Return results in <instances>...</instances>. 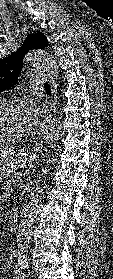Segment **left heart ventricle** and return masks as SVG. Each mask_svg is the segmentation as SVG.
<instances>
[{"mask_svg":"<svg viewBox=\"0 0 113 279\" xmlns=\"http://www.w3.org/2000/svg\"><path fill=\"white\" fill-rule=\"evenodd\" d=\"M27 130L24 106L0 105V136L16 137Z\"/></svg>","mask_w":113,"mask_h":279,"instance_id":"left-heart-ventricle-1","label":"left heart ventricle"}]
</instances>
